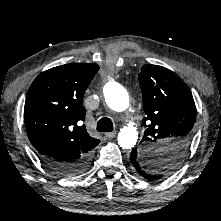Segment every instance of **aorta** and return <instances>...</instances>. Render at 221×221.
<instances>
[{"mask_svg":"<svg viewBox=\"0 0 221 221\" xmlns=\"http://www.w3.org/2000/svg\"><path fill=\"white\" fill-rule=\"evenodd\" d=\"M108 107L116 112L124 111L129 106L127 91L117 82H108L103 89ZM138 139L136 128L130 124L122 128L118 134V144L123 149L134 147Z\"/></svg>","mask_w":221,"mask_h":221,"instance_id":"aorta-1","label":"aorta"}]
</instances>
